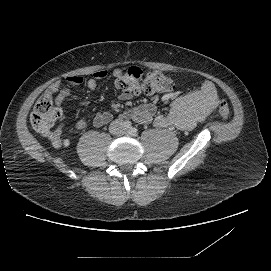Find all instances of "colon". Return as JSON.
Segmentation results:
<instances>
[{
  "mask_svg": "<svg viewBox=\"0 0 271 271\" xmlns=\"http://www.w3.org/2000/svg\"><path fill=\"white\" fill-rule=\"evenodd\" d=\"M116 86L121 92L134 95H154L170 91L173 88V83L159 71H150L144 74L140 68L130 67L117 80ZM218 112L225 119L231 115L228 104L223 100L218 102ZM61 114V109L53 103L52 94L46 91L34 106L31 124L38 132L49 136Z\"/></svg>",
  "mask_w": 271,
  "mask_h": 271,
  "instance_id": "1",
  "label": "colon"
}]
</instances>
